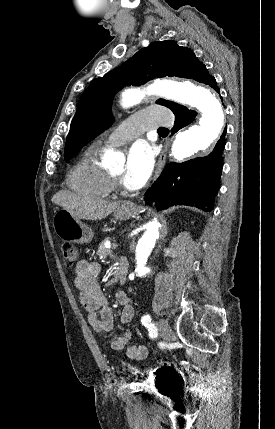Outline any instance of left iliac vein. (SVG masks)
<instances>
[{
    "instance_id": "1",
    "label": "left iliac vein",
    "mask_w": 275,
    "mask_h": 429,
    "mask_svg": "<svg viewBox=\"0 0 275 429\" xmlns=\"http://www.w3.org/2000/svg\"><path fill=\"white\" fill-rule=\"evenodd\" d=\"M158 331L159 334L165 339V340H171L172 338V330L169 324L164 320L160 319L158 322Z\"/></svg>"
}]
</instances>
